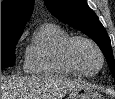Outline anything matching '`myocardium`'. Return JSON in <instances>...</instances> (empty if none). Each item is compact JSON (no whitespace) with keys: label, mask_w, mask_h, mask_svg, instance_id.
I'll use <instances>...</instances> for the list:
<instances>
[{"label":"myocardium","mask_w":115,"mask_h":99,"mask_svg":"<svg viewBox=\"0 0 115 99\" xmlns=\"http://www.w3.org/2000/svg\"><path fill=\"white\" fill-rule=\"evenodd\" d=\"M77 42H86L88 44H90L98 53L99 58H100V66L99 68L94 71V72H87L85 71L83 68H81L78 63L76 62L75 58H74V53H73V48L74 45ZM63 56L65 61L67 62V64L79 75L82 76H87V77H92L95 76L96 74H98L102 68L104 67V62H105V58H104V54L101 50V48L99 47V45L92 39L85 37V36H71L65 43L64 47H63Z\"/></svg>","instance_id":"obj_1"}]
</instances>
